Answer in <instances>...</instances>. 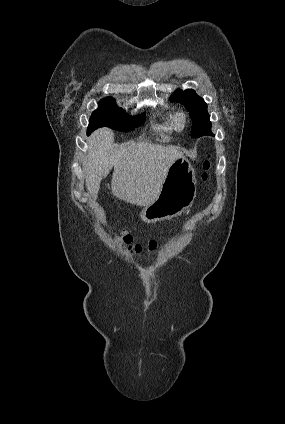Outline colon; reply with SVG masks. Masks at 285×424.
<instances>
[{
	"label": "colon",
	"mask_w": 285,
	"mask_h": 424,
	"mask_svg": "<svg viewBox=\"0 0 285 424\" xmlns=\"http://www.w3.org/2000/svg\"><path fill=\"white\" fill-rule=\"evenodd\" d=\"M212 165L209 159H207L203 164V180H208L211 178ZM118 239L120 244L131 254H139L143 251L153 252L157 248V242L155 240H150L144 244L133 242L130 235L124 231H118Z\"/></svg>",
	"instance_id": "5ec220e1"
}]
</instances>
